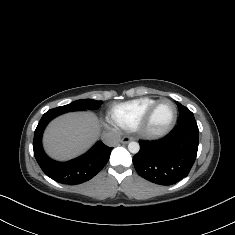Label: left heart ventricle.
<instances>
[{"instance_id": "left-heart-ventricle-1", "label": "left heart ventricle", "mask_w": 235, "mask_h": 235, "mask_svg": "<svg viewBox=\"0 0 235 235\" xmlns=\"http://www.w3.org/2000/svg\"><path fill=\"white\" fill-rule=\"evenodd\" d=\"M175 114V108L172 103L168 101L161 102L153 115L151 122V129L159 131L168 126Z\"/></svg>"}]
</instances>
